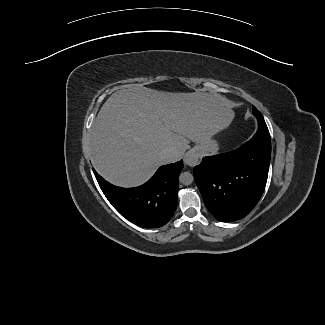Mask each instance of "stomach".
<instances>
[{
    "label": "stomach",
    "mask_w": 325,
    "mask_h": 325,
    "mask_svg": "<svg viewBox=\"0 0 325 325\" xmlns=\"http://www.w3.org/2000/svg\"><path fill=\"white\" fill-rule=\"evenodd\" d=\"M217 150H218V144L211 137L200 142L196 146V151L201 155L207 154V153H215Z\"/></svg>",
    "instance_id": "0dacf381"
}]
</instances>
